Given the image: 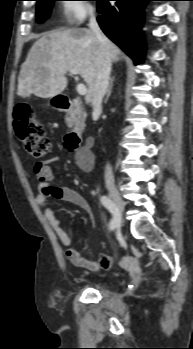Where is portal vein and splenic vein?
<instances>
[{"label":"portal vein and splenic vein","instance_id":"obj_1","mask_svg":"<svg viewBox=\"0 0 193 349\" xmlns=\"http://www.w3.org/2000/svg\"><path fill=\"white\" fill-rule=\"evenodd\" d=\"M70 73L73 74V75H79V71L76 70V69H72L70 70ZM77 92L80 94V95H85L87 93V88L86 86L83 84V83H79L77 85Z\"/></svg>","mask_w":193,"mask_h":349}]
</instances>
